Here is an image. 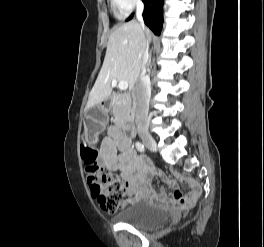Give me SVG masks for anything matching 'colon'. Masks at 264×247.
<instances>
[{"label":"colon","mask_w":264,"mask_h":247,"mask_svg":"<svg viewBox=\"0 0 264 247\" xmlns=\"http://www.w3.org/2000/svg\"><path fill=\"white\" fill-rule=\"evenodd\" d=\"M81 156L92 196L103 211L116 213L127 203L126 191L122 182L115 173L103 170L99 154L95 149L84 147ZM196 200L197 195L178 201L174 205L181 214H184L195 205Z\"/></svg>","instance_id":"1"}]
</instances>
